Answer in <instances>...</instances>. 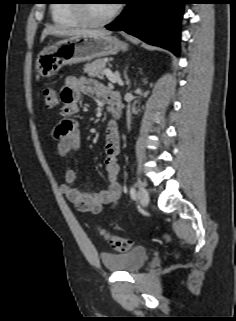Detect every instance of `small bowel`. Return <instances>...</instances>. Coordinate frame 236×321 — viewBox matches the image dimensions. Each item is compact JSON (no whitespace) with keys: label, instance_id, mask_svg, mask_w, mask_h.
Segmentation results:
<instances>
[{"label":"small bowel","instance_id":"1","mask_svg":"<svg viewBox=\"0 0 236 321\" xmlns=\"http://www.w3.org/2000/svg\"><path fill=\"white\" fill-rule=\"evenodd\" d=\"M83 94L94 95L109 100L119 94L90 78L68 76L60 91L62 119L52 129V137L57 141L58 154L61 157L76 155L81 150V136L78 121L74 118L79 112V102ZM120 134L117 125L109 122L105 129L104 169L108 178V187L99 191H90L77 186V172L68 169L61 192L79 210L86 213L99 214L104 205L115 206L120 199L121 187L118 182L120 166L118 153Z\"/></svg>","mask_w":236,"mask_h":321}]
</instances>
